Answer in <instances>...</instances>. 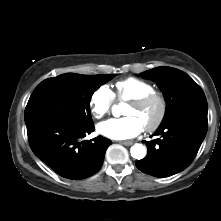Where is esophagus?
Listing matches in <instances>:
<instances>
[{"mask_svg": "<svg viewBox=\"0 0 221 221\" xmlns=\"http://www.w3.org/2000/svg\"><path fill=\"white\" fill-rule=\"evenodd\" d=\"M120 143H121L122 145H125V146H130V145H132L134 142L131 141V140H128V141H120Z\"/></svg>", "mask_w": 221, "mask_h": 221, "instance_id": "esophagus-1", "label": "esophagus"}]
</instances>
